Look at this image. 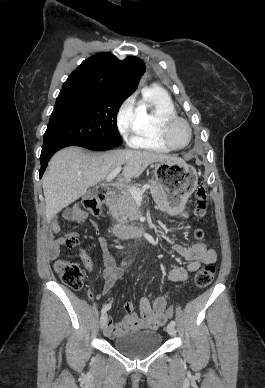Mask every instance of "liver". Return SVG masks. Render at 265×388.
<instances>
[{"instance_id": "obj_1", "label": "liver", "mask_w": 265, "mask_h": 388, "mask_svg": "<svg viewBox=\"0 0 265 388\" xmlns=\"http://www.w3.org/2000/svg\"><path fill=\"white\" fill-rule=\"evenodd\" d=\"M163 160L185 164L182 158L148 150H116L101 156H87L76 146L60 150L51 158L42 178L48 224L63 208L84 196L90 186L103 182L117 166L125 164L120 180H132L141 176L149 164Z\"/></svg>"}]
</instances>
